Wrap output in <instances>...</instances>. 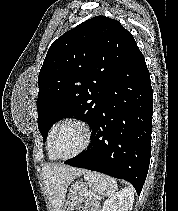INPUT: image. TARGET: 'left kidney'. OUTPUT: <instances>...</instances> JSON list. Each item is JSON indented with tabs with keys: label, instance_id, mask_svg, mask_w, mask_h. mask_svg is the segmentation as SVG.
Returning <instances> with one entry per match:
<instances>
[{
	"label": "left kidney",
	"instance_id": "obj_1",
	"mask_svg": "<svg viewBox=\"0 0 178 211\" xmlns=\"http://www.w3.org/2000/svg\"><path fill=\"white\" fill-rule=\"evenodd\" d=\"M134 202V189L124 188L105 200L101 211H131Z\"/></svg>",
	"mask_w": 178,
	"mask_h": 211
}]
</instances>
